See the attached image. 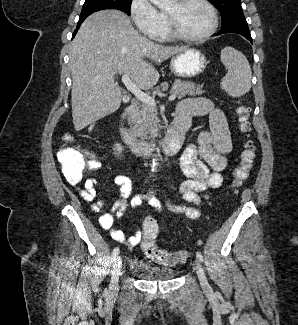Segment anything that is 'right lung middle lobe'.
Segmentation results:
<instances>
[{"instance_id": "right-lung-middle-lobe-1", "label": "right lung middle lobe", "mask_w": 298, "mask_h": 325, "mask_svg": "<svg viewBox=\"0 0 298 325\" xmlns=\"http://www.w3.org/2000/svg\"><path fill=\"white\" fill-rule=\"evenodd\" d=\"M132 0H85L79 20H85L90 14L103 9H118L130 15Z\"/></svg>"}]
</instances>
